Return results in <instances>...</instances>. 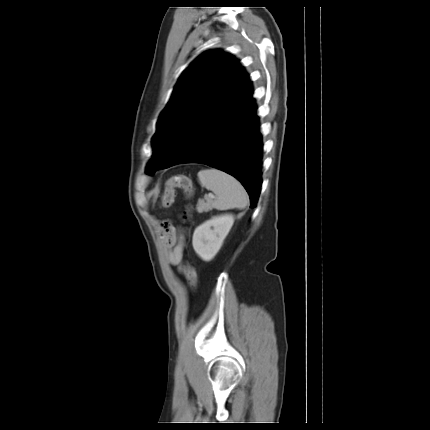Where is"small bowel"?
<instances>
[{
  "label": "small bowel",
  "instance_id": "small-bowel-1",
  "mask_svg": "<svg viewBox=\"0 0 430 430\" xmlns=\"http://www.w3.org/2000/svg\"><path fill=\"white\" fill-rule=\"evenodd\" d=\"M161 237L168 263L178 266L182 271L184 240L179 235L177 228L169 222L164 223Z\"/></svg>",
  "mask_w": 430,
  "mask_h": 430
}]
</instances>
